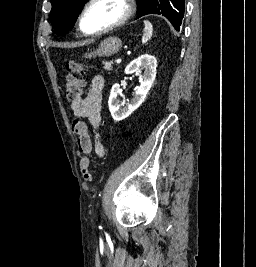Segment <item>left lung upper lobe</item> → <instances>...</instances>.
Returning a JSON list of instances; mask_svg holds the SVG:
<instances>
[{"instance_id": "left-lung-upper-lobe-1", "label": "left lung upper lobe", "mask_w": 256, "mask_h": 267, "mask_svg": "<svg viewBox=\"0 0 256 267\" xmlns=\"http://www.w3.org/2000/svg\"><path fill=\"white\" fill-rule=\"evenodd\" d=\"M52 10L50 19L58 34H67L76 22L84 4L88 0H50ZM138 15L147 14L165 16L171 23L175 18V0H138Z\"/></svg>"}]
</instances>
